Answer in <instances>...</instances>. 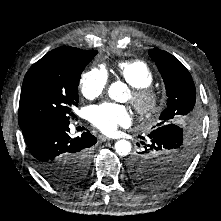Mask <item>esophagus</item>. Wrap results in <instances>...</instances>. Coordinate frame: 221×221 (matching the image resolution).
Masks as SVG:
<instances>
[{
    "instance_id": "esophagus-1",
    "label": "esophagus",
    "mask_w": 221,
    "mask_h": 221,
    "mask_svg": "<svg viewBox=\"0 0 221 221\" xmlns=\"http://www.w3.org/2000/svg\"><path fill=\"white\" fill-rule=\"evenodd\" d=\"M100 140H101L102 142L111 141V139L108 138V137H106V136H100Z\"/></svg>"
}]
</instances>
